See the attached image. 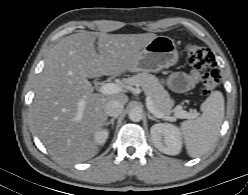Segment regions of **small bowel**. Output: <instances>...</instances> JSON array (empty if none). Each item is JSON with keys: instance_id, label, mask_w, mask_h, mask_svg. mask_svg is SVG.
<instances>
[{"instance_id": "c3829d8e", "label": "small bowel", "mask_w": 248, "mask_h": 195, "mask_svg": "<svg viewBox=\"0 0 248 195\" xmlns=\"http://www.w3.org/2000/svg\"><path fill=\"white\" fill-rule=\"evenodd\" d=\"M200 77V72L196 70L189 73L177 72L168 78V83L175 91L183 92L191 89L200 80Z\"/></svg>"}]
</instances>
